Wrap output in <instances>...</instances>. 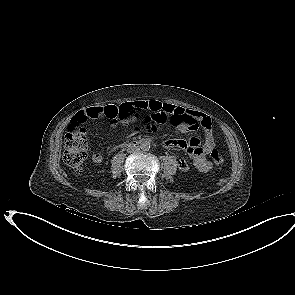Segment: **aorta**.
<instances>
[{
    "instance_id": "1",
    "label": "aorta",
    "mask_w": 295,
    "mask_h": 295,
    "mask_svg": "<svg viewBox=\"0 0 295 295\" xmlns=\"http://www.w3.org/2000/svg\"><path fill=\"white\" fill-rule=\"evenodd\" d=\"M140 148L143 150V151H148L150 149V142L145 140L143 141L141 144H140Z\"/></svg>"
}]
</instances>
